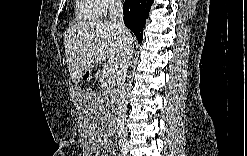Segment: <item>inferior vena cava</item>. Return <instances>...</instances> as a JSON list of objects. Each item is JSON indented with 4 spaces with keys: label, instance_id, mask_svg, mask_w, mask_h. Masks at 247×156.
<instances>
[{
    "label": "inferior vena cava",
    "instance_id": "1",
    "mask_svg": "<svg viewBox=\"0 0 247 156\" xmlns=\"http://www.w3.org/2000/svg\"><path fill=\"white\" fill-rule=\"evenodd\" d=\"M109 17L111 22L122 33L124 40V49L122 58L117 72V90L115 97L116 115L119 129V136L125 138L127 136L126 119H127V102L125 92V80L131 58L133 55V42L129 38V30L126 28L123 20L122 2L120 0H112L109 3Z\"/></svg>",
    "mask_w": 247,
    "mask_h": 156
}]
</instances>
